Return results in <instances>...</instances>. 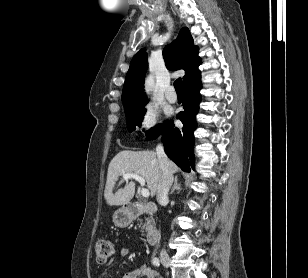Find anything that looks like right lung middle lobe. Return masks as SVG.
<instances>
[{
  "label": "right lung middle lobe",
  "mask_w": 308,
  "mask_h": 278,
  "mask_svg": "<svg viewBox=\"0 0 308 278\" xmlns=\"http://www.w3.org/2000/svg\"><path fill=\"white\" fill-rule=\"evenodd\" d=\"M145 112L146 110L144 109V106L134 107V108L125 110L126 121H127L130 132H132V130H135L136 126H139V127L141 126L140 119L143 118ZM166 123L167 121L163 123V125L161 126L153 127L151 130L146 131V138L148 140H153L157 138L159 134L162 132V130L164 129Z\"/></svg>",
  "instance_id": "dd1d6c3e"
}]
</instances>
